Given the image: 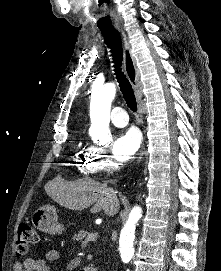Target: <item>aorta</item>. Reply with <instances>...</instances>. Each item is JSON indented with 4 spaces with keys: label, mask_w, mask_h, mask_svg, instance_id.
Instances as JSON below:
<instances>
[{
    "label": "aorta",
    "mask_w": 221,
    "mask_h": 271,
    "mask_svg": "<svg viewBox=\"0 0 221 271\" xmlns=\"http://www.w3.org/2000/svg\"><path fill=\"white\" fill-rule=\"evenodd\" d=\"M116 94L114 83H107L92 96V121L99 132H107L110 122V108ZM142 217V209L135 206L129 213L123 226L119 239V252L121 260L128 263L134 256V240L136 223Z\"/></svg>",
    "instance_id": "762f6f07"
}]
</instances>
